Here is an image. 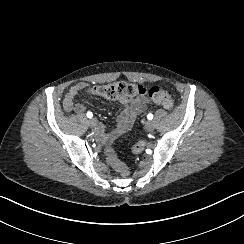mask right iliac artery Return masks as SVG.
<instances>
[{"label":"right iliac artery","instance_id":"obj_1","mask_svg":"<svg viewBox=\"0 0 244 244\" xmlns=\"http://www.w3.org/2000/svg\"><path fill=\"white\" fill-rule=\"evenodd\" d=\"M92 116H93L92 112H87V117L88 118H92Z\"/></svg>","mask_w":244,"mask_h":244}]
</instances>
